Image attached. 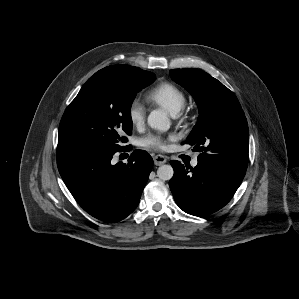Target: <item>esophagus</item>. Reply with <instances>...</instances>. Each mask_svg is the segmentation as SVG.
<instances>
[{"label": "esophagus", "mask_w": 299, "mask_h": 299, "mask_svg": "<svg viewBox=\"0 0 299 299\" xmlns=\"http://www.w3.org/2000/svg\"><path fill=\"white\" fill-rule=\"evenodd\" d=\"M153 159H154L155 165H157V166L163 165L164 163L167 162L166 157L163 155H156V156H154Z\"/></svg>", "instance_id": "esophagus-1"}]
</instances>
